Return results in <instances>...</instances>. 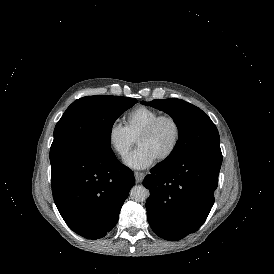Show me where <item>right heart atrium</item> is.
Masks as SVG:
<instances>
[{
	"label": "right heart atrium",
	"instance_id": "d8ad5b80",
	"mask_svg": "<svg viewBox=\"0 0 274 274\" xmlns=\"http://www.w3.org/2000/svg\"><path fill=\"white\" fill-rule=\"evenodd\" d=\"M106 139L109 148L120 156L125 155L133 144V139L129 136L124 126L118 123L109 125Z\"/></svg>",
	"mask_w": 274,
	"mask_h": 274
}]
</instances>
